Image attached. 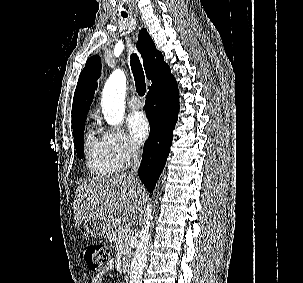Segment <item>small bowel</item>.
Returning a JSON list of instances; mask_svg holds the SVG:
<instances>
[{
	"mask_svg": "<svg viewBox=\"0 0 303 283\" xmlns=\"http://www.w3.org/2000/svg\"><path fill=\"white\" fill-rule=\"evenodd\" d=\"M115 268V263L114 261L108 262L104 268L102 269L101 272L93 276L91 283H103V279L106 273L112 271Z\"/></svg>",
	"mask_w": 303,
	"mask_h": 283,
	"instance_id": "obj_1",
	"label": "small bowel"
}]
</instances>
